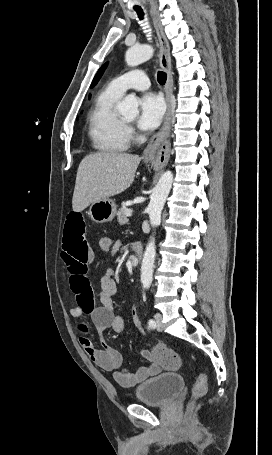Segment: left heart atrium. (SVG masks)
<instances>
[{
  "instance_id": "left-heart-atrium-1",
  "label": "left heart atrium",
  "mask_w": 272,
  "mask_h": 455,
  "mask_svg": "<svg viewBox=\"0 0 272 455\" xmlns=\"http://www.w3.org/2000/svg\"><path fill=\"white\" fill-rule=\"evenodd\" d=\"M139 105L138 127L145 131L156 129L160 125L165 112V104L162 97L152 92L145 93L141 97Z\"/></svg>"
}]
</instances>
